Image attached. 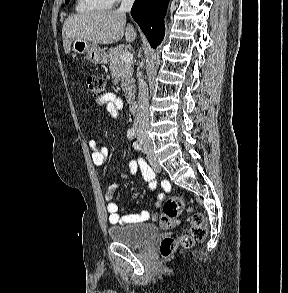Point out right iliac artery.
I'll return each mask as SVG.
<instances>
[{
	"instance_id": "1",
	"label": "right iliac artery",
	"mask_w": 288,
	"mask_h": 293,
	"mask_svg": "<svg viewBox=\"0 0 288 293\" xmlns=\"http://www.w3.org/2000/svg\"><path fill=\"white\" fill-rule=\"evenodd\" d=\"M127 137L129 139H133L135 137V129L134 128H131V129L128 130Z\"/></svg>"
}]
</instances>
